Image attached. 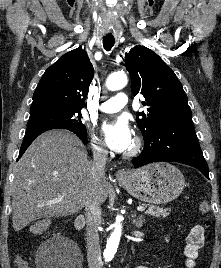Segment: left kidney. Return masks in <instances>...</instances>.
Returning a JSON list of instances; mask_svg holds the SVG:
<instances>
[{
    "label": "left kidney",
    "mask_w": 221,
    "mask_h": 268,
    "mask_svg": "<svg viewBox=\"0 0 221 268\" xmlns=\"http://www.w3.org/2000/svg\"><path fill=\"white\" fill-rule=\"evenodd\" d=\"M166 242H169V239L165 238Z\"/></svg>",
    "instance_id": "left-kidney-1"
}]
</instances>
